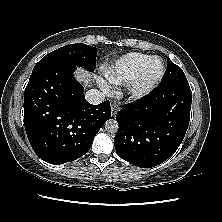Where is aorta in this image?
<instances>
[{
	"instance_id": "762f6f07",
	"label": "aorta",
	"mask_w": 222,
	"mask_h": 222,
	"mask_svg": "<svg viewBox=\"0 0 222 222\" xmlns=\"http://www.w3.org/2000/svg\"><path fill=\"white\" fill-rule=\"evenodd\" d=\"M118 128H119L118 123L114 119H109L105 123V129L109 133H116L118 131Z\"/></svg>"
}]
</instances>
